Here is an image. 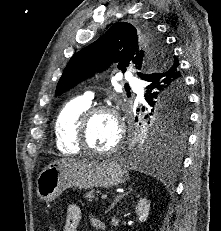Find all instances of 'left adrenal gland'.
Listing matches in <instances>:
<instances>
[{"instance_id": "left-adrenal-gland-1", "label": "left adrenal gland", "mask_w": 221, "mask_h": 231, "mask_svg": "<svg viewBox=\"0 0 221 231\" xmlns=\"http://www.w3.org/2000/svg\"><path fill=\"white\" fill-rule=\"evenodd\" d=\"M132 191H133V190H132V188L130 187V188H128V191H127V192H125V193H123V194H121V195H118V196L114 199V201L112 202V204L110 205V207L108 208L107 212L110 211L111 209H113V208L116 206V204H117L118 202H120V200H121L122 198H124V196H127V195L130 194Z\"/></svg>"}]
</instances>
